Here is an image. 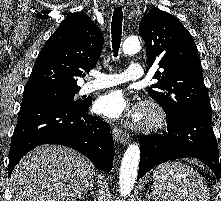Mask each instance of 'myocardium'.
Returning <instances> with one entry per match:
<instances>
[{"label": "myocardium", "instance_id": "obj_1", "mask_svg": "<svg viewBox=\"0 0 221 201\" xmlns=\"http://www.w3.org/2000/svg\"><path fill=\"white\" fill-rule=\"evenodd\" d=\"M166 113L155 100H144L139 106V118L131 122L130 127L141 132H156L166 125Z\"/></svg>", "mask_w": 221, "mask_h": 201}]
</instances>
